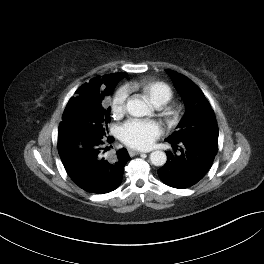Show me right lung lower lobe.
I'll list each match as a JSON object with an SVG mask.
<instances>
[{"instance_id": "obj_1", "label": "right lung lower lobe", "mask_w": 264, "mask_h": 264, "mask_svg": "<svg viewBox=\"0 0 264 264\" xmlns=\"http://www.w3.org/2000/svg\"><path fill=\"white\" fill-rule=\"evenodd\" d=\"M113 141L112 136L100 138L78 135L66 140L58 139L62 163L70 178L81 189L89 193L104 194L119 187L124 166L130 157L125 148L118 150L109 159L102 157L108 150L103 145Z\"/></svg>"}]
</instances>
